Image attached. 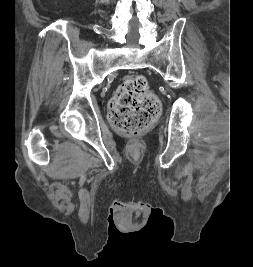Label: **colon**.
Masks as SVG:
<instances>
[{"label": "colon", "instance_id": "5ec220e1", "mask_svg": "<svg viewBox=\"0 0 253 267\" xmlns=\"http://www.w3.org/2000/svg\"><path fill=\"white\" fill-rule=\"evenodd\" d=\"M161 109L144 76L129 75L109 103L110 121L120 133L137 136L157 117Z\"/></svg>", "mask_w": 253, "mask_h": 267}]
</instances>
